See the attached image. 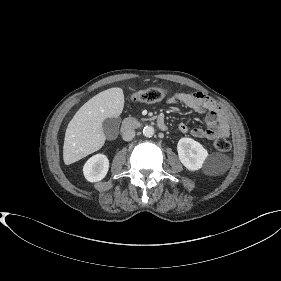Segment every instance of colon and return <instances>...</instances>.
<instances>
[{
	"mask_svg": "<svg viewBox=\"0 0 281 281\" xmlns=\"http://www.w3.org/2000/svg\"><path fill=\"white\" fill-rule=\"evenodd\" d=\"M164 96V91L157 87H150L139 90L132 94L131 99L138 102H157ZM213 146L217 151H228L230 149V143L227 139L220 137L214 140Z\"/></svg>",
	"mask_w": 281,
	"mask_h": 281,
	"instance_id": "colon-1",
	"label": "colon"
}]
</instances>
